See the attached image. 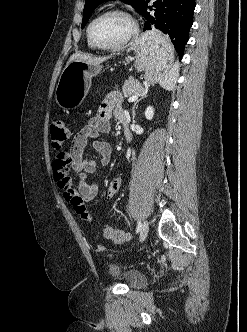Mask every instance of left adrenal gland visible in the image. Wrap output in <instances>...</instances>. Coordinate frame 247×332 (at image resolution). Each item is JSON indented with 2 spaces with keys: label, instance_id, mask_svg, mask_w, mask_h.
<instances>
[{
  "label": "left adrenal gland",
  "instance_id": "left-adrenal-gland-1",
  "mask_svg": "<svg viewBox=\"0 0 247 332\" xmlns=\"http://www.w3.org/2000/svg\"><path fill=\"white\" fill-rule=\"evenodd\" d=\"M146 97H147V91H145L143 93V96L134 103L133 108H132V117H133V119L135 118V108L137 107L138 102L141 101L142 99L146 98Z\"/></svg>",
  "mask_w": 247,
  "mask_h": 332
}]
</instances>
